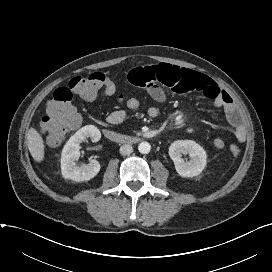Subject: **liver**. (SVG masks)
I'll return each instance as SVG.
<instances>
[{
    "mask_svg": "<svg viewBox=\"0 0 272 272\" xmlns=\"http://www.w3.org/2000/svg\"><path fill=\"white\" fill-rule=\"evenodd\" d=\"M27 143L33 159L37 162H42L45 156V145L41 134L36 129H29L27 134Z\"/></svg>",
    "mask_w": 272,
    "mask_h": 272,
    "instance_id": "1",
    "label": "liver"
}]
</instances>
